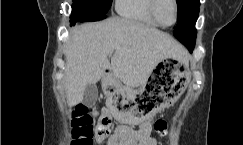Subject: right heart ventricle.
<instances>
[{"mask_svg":"<svg viewBox=\"0 0 243 145\" xmlns=\"http://www.w3.org/2000/svg\"><path fill=\"white\" fill-rule=\"evenodd\" d=\"M151 0H116L118 14L150 27H160L150 11Z\"/></svg>","mask_w":243,"mask_h":145,"instance_id":"right-heart-ventricle-1","label":"right heart ventricle"}]
</instances>
